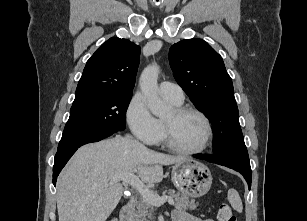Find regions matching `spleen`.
Returning a JSON list of instances; mask_svg holds the SVG:
<instances>
[{
  "instance_id": "obj_1",
  "label": "spleen",
  "mask_w": 307,
  "mask_h": 221,
  "mask_svg": "<svg viewBox=\"0 0 307 221\" xmlns=\"http://www.w3.org/2000/svg\"><path fill=\"white\" fill-rule=\"evenodd\" d=\"M227 198L232 208L239 213L243 211L242 200L239 196V193L235 189H230L227 194Z\"/></svg>"
}]
</instances>
